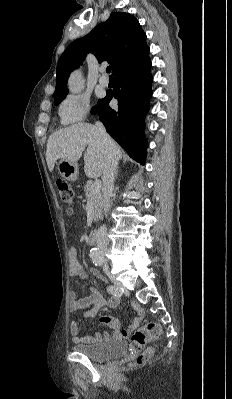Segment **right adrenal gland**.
I'll return each mask as SVG.
<instances>
[{
  "mask_svg": "<svg viewBox=\"0 0 232 399\" xmlns=\"http://www.w3.org/2000/svg\"><path fill=\"white\" fill-rule=\"evenodd\" d=\"M117 176H118V172H116V174L114 176L115 180H117Z\"/></svg>",
  "mask_w": 232,
  "mask_h": 399,
  "instance_id": "2a0ac1e0",
  "label": "right adrenal gland"
}]
</instances>
